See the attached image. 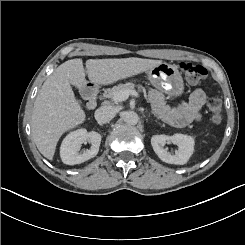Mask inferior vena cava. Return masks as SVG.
<instances>
[{
	"label": "inferior vena cava",
	"mask_w": 245,
	"mask_h": 245,
	"mask_svg": "<svg viewBox=\"0 0 245 245\" xmlns=\"http://www.w3.org/2000/svg\"><path fill=\"white\" fill-rule=\"evenodd\" d=\"M115 114L111 106H101L95 111V119L99 124L108 122Z\"/></svg>",
	"instance_id": "602c4592"
}]
</instances>
